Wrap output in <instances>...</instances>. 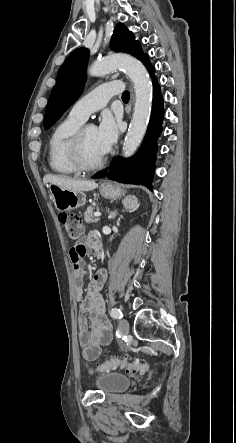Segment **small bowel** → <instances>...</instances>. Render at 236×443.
Listing matches in <instances>:
<instances>
[{
	"label": "small bowel",
	"mask_w": 236,
	"mask_h": 443,
	"mask_svg": "<svg viewBox=\"0 0 236 443\" xmlns=\"http://www.w3.org/2000/svg\"><path fill=\"white\" fill-rule=\"evenodd\" d=\"M87 245L96 251L101 246V241L95 233L91 232L74 247H83L86 252ZM71 252L72 249L70 257ZM84 276L85 271L81 259L80 267L75 269V296L81 311L88 317L81 315L77 319L78 340L85 356H89L90 360H95L100 355L101 348L109 345L112 340L111 325L105 315V302L100 292L106 282L107 272L104 269L98 271L86 289H84Z\"/></svg>",
	"instance_id": "1"
}]
</instances>
